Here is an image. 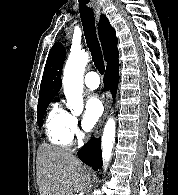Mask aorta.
Segmentation results:
<instances>
[{"label":"aorta","mask_w":178,"mask_h":195,"mask_svg":"<svg viewBox=\"0 0 178 195\" xmlns=\"http://www.w3.org/2000/svg\"><path fill=\"white\" fill-rule=\"evenodd\" d=\"M89 61V55L84 50L72 52L66 62L63 75L64 94L67 99V107L73 114H79L83 110V75ZM116 123L110 117L103 129L102 153L105 163H108L112 156V149L115 142ZM100 194V191H97Z\"/></svg>","instance_id":"1"}]
</instances>
